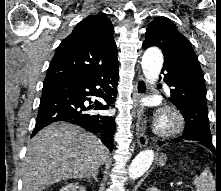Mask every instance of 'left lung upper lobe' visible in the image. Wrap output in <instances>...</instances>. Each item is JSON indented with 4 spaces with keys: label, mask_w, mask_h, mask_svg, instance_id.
Masks as SVG:
<instances>
[{
    "label": "left lung upper lobe",
    "mask_w": 221,
    "mask_h": 191,
    "mask_svg": "<svg viewBox=\"0 0 221 191\" xmlns=\"http://www.w3.org/2000/svg\"><path fill=\"white\" fill-rule=\"evenodd\" d=\"M151 46L162 50L165 59L164 66L179 67L185 64L189 57L196 58L189 40L166 18H157L148 25L143 47L147 49ZM197 142L207 148H213L210 128L207 137Z\"/></svg>",
    "instance_id": "5c2ea615"
}]
</instances>
